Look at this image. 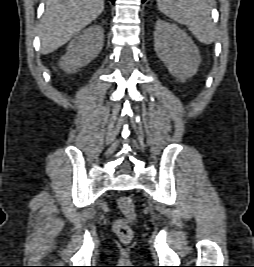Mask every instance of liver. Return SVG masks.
<instances>
[{
	"instance_id": "obj_1",
	"label": "liver",
	"mask_w": 254,
	"mask_h": 267,
	"mask_svg": "<svg viewBox=\"0 0 254 267\" xmlns=\"http://www.w3.org/2000/svg\"><path fill=\"white\" fill-rule=\"evenodd\" d=\"M103 10V0H46L39 31L41 53L49 54L67 43Z\"/></svg>"
}]
</instances>
